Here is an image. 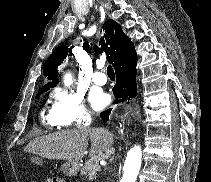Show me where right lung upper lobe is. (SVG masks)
Returning <instances> with one entry per match:
<instances>
[{
  "instance_id": "right-lung-upper-lobe-1",
  "label": "right lung upper lobe",
  "mask_w": 211,
  "mask_h": 182,
  "mask_svg": "<svg viewBox=\"0 0 211 182\" xmlns=\"http://www.w3.org/2000/svg\"><path fill=\"white\" fill-rule=\"evenodd\" d=\"M103 30L105 31L103 37L100 41V52L106 54L107 60L113 66L116 65L118 58L124 52L125 46L129 41V38L123 33L121 26L115 22L114 20H107L103 24ZM88 42L83 43V49L86 50L88 48ZM67 46L61 45L57 47L54 52L49 56L46 60L43 68V74L48 76L49 80H53L52 82L47 83L42 89L39 90L38 94L44 92L50 87H55L59 80L57 79V67L62 63V61L67 57L68 53H72Z\"/></svg>"
}]
</instances>
